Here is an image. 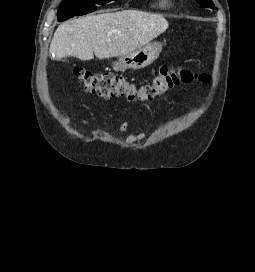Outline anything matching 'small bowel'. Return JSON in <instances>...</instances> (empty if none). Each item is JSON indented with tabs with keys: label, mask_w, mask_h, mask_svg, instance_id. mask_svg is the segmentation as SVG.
Instances as JSON below:
<instances>
[{
	"label": "small bowel",
	"mask_w": 255,
	"mask_h": 272,
	"mask_svg": "<svg viewBox=\"0 0 255 272\" xmlns=\"http://www.w3.org/2000/svg\"><path fill=\"white\" fill-rule=\"evenodd\" d=\"M129 129V123L127 121L122 122L119 132L124 134ZM148 137V133H137L127 136L126 142L128 144H133L138 141L145 140Z\"/></svg>",
	"instance_id": "obj_1"
}]
</instances>
